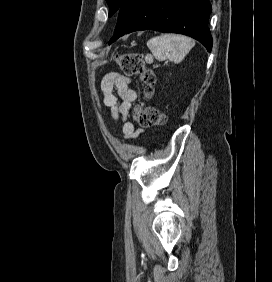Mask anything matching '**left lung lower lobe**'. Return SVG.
Masks as SVG:
<instances>
[{"mask_svg":"<svg viewBox=\"0 0 272 282\" xmlns=\"http://www.w3.org/2000/svg\"><path fill=\"white\" fill-rule=\"evenodd\" d=\"M209 0H125L119 9L114 35L109 44L137 30L180 33L200 41L210 52L212 37L208 19Z\"/></svg>","mask_w":272,"mask_h":282,"instance_id":"obj_1","label":"left lung lower lobe"}]
</instances>
